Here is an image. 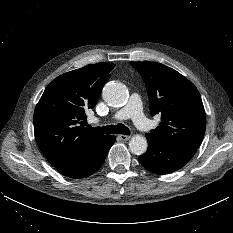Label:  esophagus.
<instances>
[{
	"label": "esophagus",
	"instance_id": "esophagus-1",
	"mask_svg": "<svg viewBox=\"0 0 233 233\" xmlns=\"http://www.w3.org/2000/svg\"><path fill=\"white\" fill-rule=\"evenodd\" d=\"M118 137L122 140V141H127L130 139V136L128 135H118Z\"/></svg>",
	"mask_w": 233,
	"mask_h": 233
}]
</instances>
